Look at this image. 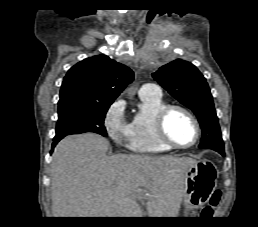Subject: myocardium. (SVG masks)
Wrapping results in <instances>:
<instances>
[{
	"instance_id": "f54148a6",
	"label": "myocardium",
	"mask_w": 258,
	"mask_h": 227,
	"mask_svg": "<svg viewBox=\"0 0 258 227\" xmlns=\"http://www.w3.org/2000/svg\"><path fill=\"white\" fill-rule=\"evenodd\" d=\"M173 111H180L184 113L192 121L195 128V138L190 144H187V145L178 144L168 135L167 129H166V121L170 113ZM155 130H156L158 139L162 143L166 144L171 148H177V149H188L193 147L194 145L197 144L201 135L200 124L197 118L195 117V115L185 107H182L179 105H166L161 110H159V112L156 114V117H155Z\"/></svg>"
}]
</instances>
